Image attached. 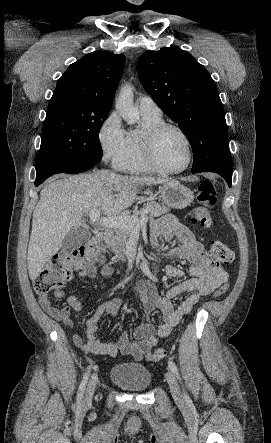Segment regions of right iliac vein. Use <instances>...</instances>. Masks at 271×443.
Listing matches in <instances>:
<instances>
[{"label": "right iliac vein", "mask_w": 271, "mask_h": 443, "mask_svg": "<svg viewBox=\"0 0 271 443\" xmlns=\"http://www.w3.org/2000/svg\"><path fill=\"white\" fill-rule=\"evenodd\" d=\"M96 387V380L93 378L89 381L86 394L84 397L83 407L88 408L91 405L93 394Z\"/></svg>", "instance_id": "obj_1"}]
</instances>
